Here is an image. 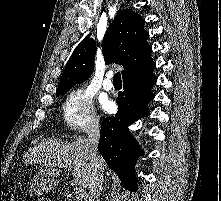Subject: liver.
<instances>
[{
  "instance_id": "6515ba94",
  "label": "liver",
  "mask_w": 221,
  "mask_h": 201,
  "mask_svg": "<svg viewBox=\"0 0 221 201\" xmlns=\"http://www.w3.org/2000/svg\"><path fill=\"white\" fill-rule=\"evenodd\" d=\"M23 160L26 164L43 163L47 166L48 168L40 169L39 174L48 176L54 184L57 183L55 178L61 173V167L71 168L75 183L88 188L92 168L87 140L84 138H77L71 143L58 139H44L37 146L29 149ZM100 161L104 171L106 164L101 156Z\"/></svg>"
}]
</instances>
